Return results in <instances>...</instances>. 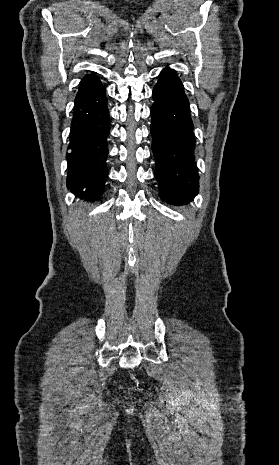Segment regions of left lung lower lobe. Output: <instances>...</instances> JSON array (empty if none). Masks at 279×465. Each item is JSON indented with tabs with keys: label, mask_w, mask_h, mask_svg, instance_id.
Segmentation results:
<instances>
[{
	"label": "left lung lower lobe",
	"mask_w": 279,
	"mask_h": 465,
	"mask_svg": "<svg viewBox=\"0 0 279 465\" xmlns=\"http://www.w3.org/2000/svg\"><path fill=\"white\" fill-rule=\"evenodd\" d=\"M152 151L155 177L163 201H189L197 195L195 136L184 87L173 69L165 68L152 92Z\"/></svg>",
	"instance_id": "left-lung-lower-lobe-1"
}]
</instances>
